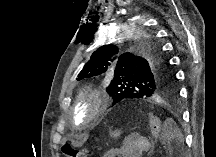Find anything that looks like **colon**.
Here are the masks:
<instances>
[{
  "instance_id": "1",
  "label": "colon",
  "mask_w": 216,
  "mask_h": 157,
  "mask_svg": "<svg viewBox=\"0 0 216 157\" xmlns=\"http://www.w3.org/2000/svg\"><path fill=\"white\" fill-rule=\"evenodd\" d=\"M149 124L153 133H157L159 130V120L157 117L150 115L149 116ZM62 155L63 157H85V154L74 148L69 144H65L62 146Z\"/></svg>"
}]
</instances>
